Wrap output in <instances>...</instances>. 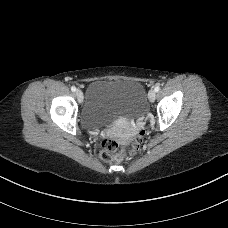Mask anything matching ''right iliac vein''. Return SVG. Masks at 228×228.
Returning <instances> with one entry per match:
<instances>
[{"label": "right iliac vein", "instance_id": "1", "mask_svg": "<svg viewBox=\"0 0 228 228\" xmlns=\"http://www.w3.org/2000/svg\"><path fill=\"white\" fill-rule=\"evenodd\" d=\"M76 96H77V99L79 102H82L83 101V93L81 90H77L76 91Z\"/></svg>", "mask_w": 228, "mask_h": 228}]
</instances>
